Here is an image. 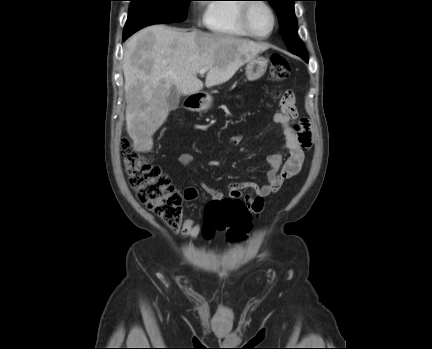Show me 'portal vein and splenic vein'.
Returning a JSON list of instances; mask_svg holds the SVG:
<instances>
[{
  "instance_id": "18ae733b",
  "label": "portal vein and splenic vein",
  "mask_w": 432,
  "mask_h": 349,
  "mask_svg": "<svg viewBox=\"0 0 432 349\" xmlns=\"http://www.w3.org/2000/svg\"><path fill=\"white\" fill-rule=\"evenodd\" d=\"M206 71H207V70H205V69H201V70L199 71V74H200V75H204Z\"/></svg>"
}]
</instances>
